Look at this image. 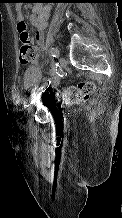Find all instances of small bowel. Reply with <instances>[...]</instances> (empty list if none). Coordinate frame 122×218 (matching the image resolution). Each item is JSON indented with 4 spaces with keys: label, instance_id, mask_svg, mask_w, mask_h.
<instances>
[{
    "label": "small bowel",
    "instance_id": "c3829d8e",
    "mask_svg": "<svg viewBox=\"0 0 122 218\" xmlns=\"http://www.w3.org/2000/svg\"><path fill=\"white\" fill-rule=\"evenodd\" d=\"M50 12L51 5L44 6L42 4H36L32 9L31 22L36 27L35 40L39 45V48H37V59L35 62H37L40 57H43L42 45L44 41V30L47 27ZM17 18L19 21L23 20V13L20 9L17 12Z\"/></svg>",
    "mask_w": 122,
    "mask_h": 218
}]
</instances>
